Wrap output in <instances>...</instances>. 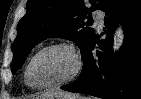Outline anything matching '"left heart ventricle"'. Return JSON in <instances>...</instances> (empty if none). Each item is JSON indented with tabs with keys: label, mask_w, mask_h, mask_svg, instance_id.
I'll return each instance as SVG.
<instances>
[{
	"label": "left heart ventricle",
	"mask_w": 141,
	"mask_h": 99,
	"mask_svg": "<svg viewBox=\"0 0 141 99\" xmlns=\"http://www.w3.org/2000/svg\"><path fill=\"white\" fill-rule=\"evenodd\" d=\"M75 68L72 53L64 48L50 49L40 54L30 69L35 85H47L67 78Z\"/></svg>",
	"instance_id": "b2bd125f"
}]
</instances>
